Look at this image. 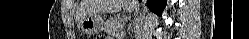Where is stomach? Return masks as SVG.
<instances>
[{
	"label": "stomach",
	"mask_w": 249,
	"mask_h": 39,
	"mask_svg": "<svg viewBox=\"0 0 249 39\" xmlns=\"http://www.w3.org/2000/svg\"><path fill=\"white\" fill-rule=\"evenodd\" d=\"M128 11L133 12V7H128ZM81 29L87 35L99 34L103 29V20L99 14L86 16L81 21Z\"/></svg>",
	"instance_id": "1"
}]
</instances>
